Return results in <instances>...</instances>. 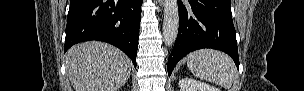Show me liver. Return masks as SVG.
Listing matches in <instances>:
<instances>
[{
  "instance_id": "liver-1",
  "label": "liver",
  "mask_w": 304,
  "mask_h": 91,
  "mask_svg": "<svg viewBox=\"0 0 304 91\" xmlns=\"http://www.w3.org/2000/svg\"><path fill=\"white\" fill-rule=\"evenodd\" d=\"M131 67L123 52L104 42H83L66 53L67 75L75 91H118Z\"/></svg>"
}]
</instances>
